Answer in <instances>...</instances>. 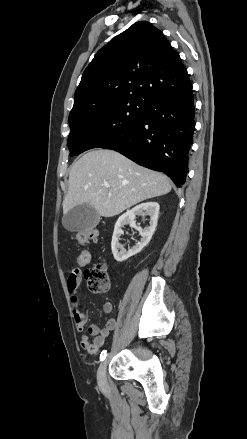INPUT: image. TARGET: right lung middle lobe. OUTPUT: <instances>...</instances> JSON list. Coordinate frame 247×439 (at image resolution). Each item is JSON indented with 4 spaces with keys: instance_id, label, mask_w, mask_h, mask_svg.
Segmentation results:
<instances>
[{
    "instance_id": "dd1d6c3e",
    "label": "right lung middle lobe",
    "mask_w": 247,
    "mask_h": 439,
    "mask_svg": "<svg viewBox=\"0 0 247 439\" xmlns=\"http://www.w3.org/2000/svg\"><path fill=\"white\" fill-rule=\"evenodd\" d=\"M147 104L122 100L102 104L69 117L70 156L106 148L131 131L143 118Z\"/></svg>"
}]
</instances>
